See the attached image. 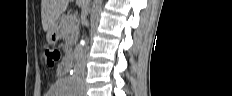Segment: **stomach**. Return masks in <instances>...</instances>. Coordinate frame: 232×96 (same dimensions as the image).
<instances>
[{
  "label": "stomach",
  "mask_w": 232,
  "mask_h": 96,
  "mask_svg": "<svg viewBox=\"0 0 232 96\" xmlns=\"http://www.w3.org/2000/svg\"><path fill=\"white\" fill-rule=\"evenodd\" d=\"M60 38V29L57 25L47 32V42L50 45L56 44Z\"/></svg>",
  "instance_id": "obj_1"
}]
</instances>
